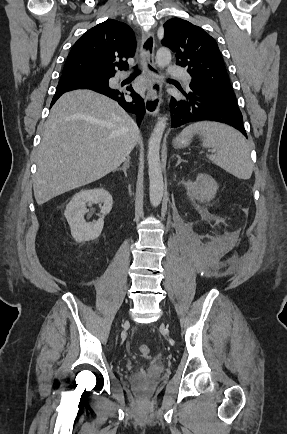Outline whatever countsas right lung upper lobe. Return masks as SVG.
Segmentation results:
<instances>
[{
	"mask_svg": "<svg viewBox=\"0 0 287 434\" xmlns=\"http://www.w3.org/2000/svg\"><path fill=\"white\" fill-rule=\"evenodd\" d=\"M136 41L132 29L116 20H106L88 30L72 47L62 74L90 73L113 77L115 66L125 69L123 58L133 57ZM119 60V62H117ZM59 83L89 84L60 79Z\"/></svg>",
	"mask_w": 287,
	"mask_h": 434,
	"instance_id": "right-lung-upper-lobe-1",
	"label": "right lung upper lobe"
}]
</instances>
